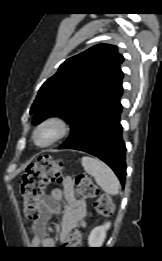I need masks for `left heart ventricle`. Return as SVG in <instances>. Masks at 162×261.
<instances>
[{"mask_svg":"<svg viewBox=\"0 0 162 261\" xmlns=\"http://www.w3.org/2000/svg\"><path fill=\"white\" fill-rule=\"evenodd\" d=\"M47 137H48V132H42L38 136V141L43 142L47 139Z\"/></svg>","mask_w":162,"mask_h":261,"instance_id":"obj_1","label":"left heart ventricle"}]
</instances>
